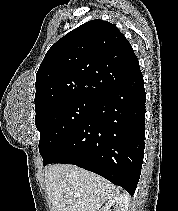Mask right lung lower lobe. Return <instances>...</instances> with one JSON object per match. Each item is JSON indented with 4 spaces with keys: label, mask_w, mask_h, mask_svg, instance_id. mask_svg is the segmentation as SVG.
Masks as SVG:
<instances>
[{
    "label": "right lung lower lobe",
    "mask_w": 178,
    "mask_h": 211,
    "mask_svg": "<svg viewBox=\"0 0 178 211\" xmlns=\"http://www.w3.org/2000/svg\"><path fill=\"white\" fill-rule=\"evenodd\" d=\"M146 93L141 71L99 96L88 116L44 159L95 172L133 195L144 156Z\"/></svg>",
    "instance_id": "right-lung-lower-lobe-1"
}]
</instances>
